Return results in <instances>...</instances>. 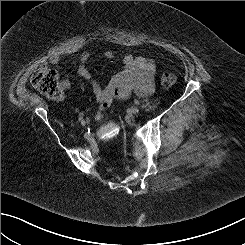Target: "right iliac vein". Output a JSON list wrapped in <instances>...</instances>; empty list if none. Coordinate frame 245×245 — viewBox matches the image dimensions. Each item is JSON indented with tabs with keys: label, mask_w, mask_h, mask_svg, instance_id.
Segmentation results:
<instances>
[{
	"label": "right iliac vein",
	"mask_w": 245,
	"mask_h": 245,
	"mask_svg": "<svg viewBox=\"0 0 245 245\" xmlns=\"http://www.w3.org/2000/svg\"><path fill=\"white\" fill-rule=\"evenodd\" d=\"M81 125H82V126H85V125H86V121H85V120H82V121H81Z\"/></svg>",
	"instance_id": "63e3f726"
}]
</instances>
